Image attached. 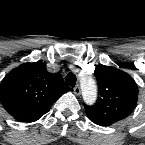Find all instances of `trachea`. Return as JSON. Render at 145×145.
I'll list each match as a JSON object with an SVG mask.
<instances>
[{
    "mask_svg": "<svg viewBox=\"0 0 145 145\" xmlns=\"http://www.w3.org/2000/svg\"><path fill=\"white\" fill-rule=\"evenodd\" d=\"M65 81L67 85L74 87L76 84V76L73 73H69L65 77Z\"/></svg>",
    "mask_w": 145,
    "mask_h": 145,
    "instance_id": "1",
    "label": "trachea"
}]
</instances>
